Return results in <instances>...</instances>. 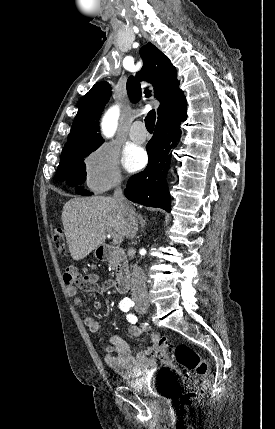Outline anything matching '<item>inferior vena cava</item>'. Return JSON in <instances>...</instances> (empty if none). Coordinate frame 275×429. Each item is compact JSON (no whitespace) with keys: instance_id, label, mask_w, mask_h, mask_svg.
Wrapping results in <instances>:
<instances>
[{"instance_id":"602c4592","label":"inferior vena cava","mask_w":275,"mask_h":429,"mask_svg":"<svg viewBox=\"0 0 275 429\" xmlns=\"http://www.w3.org/2000/svg\"><path fill=\"white\" fill-rule=\"evenodd\" d=\"M114 199L125 218V235L133 240L138 231V217L131 203L125 198L120 182L114 190ZM132 298L136 304H149L145 275L141 267L134 265L132 270Z\"/></svg>"}]
</instances>
